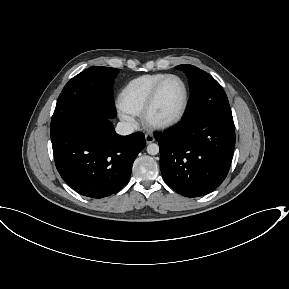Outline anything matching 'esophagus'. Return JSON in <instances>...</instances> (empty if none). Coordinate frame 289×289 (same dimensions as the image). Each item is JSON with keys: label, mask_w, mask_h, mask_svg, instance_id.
<instances>
[{"label": "esophagus", "mask_w": 289, "mask_h": 289, "mask_svg": "<svg viewBox=\"0 0 289 289\" xmlns=\"http://www.w3.org/2000/svg\"><path fill=\"white\" fill-rule=\"evenodd\" d=\"M154 137L151 135V134H145V141H146V143H152V142H154Z\"/></svg>", "instance_id": "34e87169"}]
</instances>
